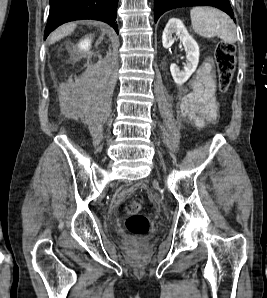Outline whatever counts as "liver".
Listing matches in <instances>:
<instances>
[{
    "label": "liver",
    "mask_w": 267,
    "mask_h": 298,
    "mask_svg": "<svg viewBox=\"0 0 267 298\" xmlns=\"http://www.w3.org/2000/svg\"><path fill=\"white\" fill-rule=\"evenodd\" d=\"M75 28H76V24H74V23H69V24L59 27L52 33V35L50 37V43H54V42L64 38L65 36L71 34Z\"/></svg>",
    "instance_id": "1"
}]
</instances>
